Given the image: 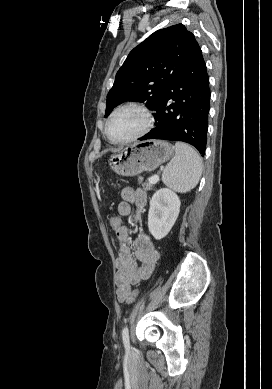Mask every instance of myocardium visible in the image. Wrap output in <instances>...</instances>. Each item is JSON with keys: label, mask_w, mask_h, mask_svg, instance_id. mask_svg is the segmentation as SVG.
Segmentation results:
<instances>
[{"label": "myocardium", "mask_w": 272, "mask_h": 389, "mask_svg": "<svg viewBox=\"0 0 272 389\" xmlns=\"http://www.w3.org/2000/svg\"><path fill=\"white\" fill-rule=\"evenodd\" d=\"M130 108L136 109L142 113V115L144 116V120H145L143 127L139 131H137L135 134H133L132 136H130L128 138L121 139V140L112 139L110 134H109V125H110L111 120L118 112H120L124 109H130ZM153 122H154L153 114L147 106H145L144 104L139 103V102H127V103H124V104L118 106L117 108H115L111 112V114L109 115V117L106 120L104 131H105V135H106L107 139L111 143H113V144H125V143L135 141V140L143 137L144 135H146L150 131V129L152 128Z\"/></svg>", "instance_id": "myocardium-1"}]
</instances>
